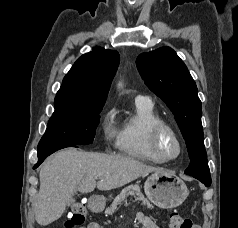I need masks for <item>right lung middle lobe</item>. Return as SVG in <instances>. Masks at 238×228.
Returning a JSON list of instances; mask_svg holds the SVG:
<instances>
[{"label":"right lung middle lobe","mask_w":238,"mask_h":228,"mask_svg":"<svg viewBox=\"0 0 238 228\" xmlns=\"http://www.w3.org/2000/svg\"><path fill=\"white\" fill-rule=\"evenodd\" d=\"M103 106L101 104L91 110L54 112L38 148L91 144Z\"/></svg>","instance_id":"right-lung-middle-lobe-1"}]
</instances>
